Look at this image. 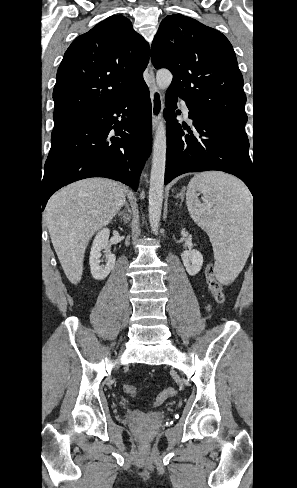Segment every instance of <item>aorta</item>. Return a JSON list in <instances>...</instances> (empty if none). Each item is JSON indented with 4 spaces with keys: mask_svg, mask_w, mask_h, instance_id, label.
<instances>
[{
    "mask_svg": "<svg viewBox=\"0 0 297 488\" xmlns=\"http://www.w3.org/2000/svg\"><path fill=\"white\" fill-rule=\"evenodd\" d=\"M172 73L161 69L156 74L157 87L165 91L172 82ZM166 128L163 116L158 118L156 135L153 142L152 167L149 188V222L154 234H158L159 221L163 203L164 175L166 166Z\"/></svg>",
    "mask_w": 297,
    "mask_h": 488,
    "instance_id": "aorta-1",
    "label": "aorta"
}]
</instances>
